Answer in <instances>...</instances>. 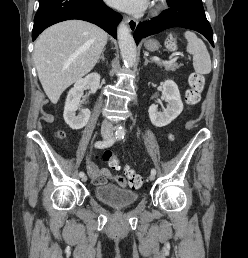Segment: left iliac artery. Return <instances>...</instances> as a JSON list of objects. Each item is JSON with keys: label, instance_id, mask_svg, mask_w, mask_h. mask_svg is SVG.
Wrapping results in <instances>:
<instances>
[{"label": "left iliac artery", "instance_id": "obj_1", "mask_svg": "<svg viewBox=\"0 0 248 258\" xmlns=\"http://www.w3.org/2000/svg\"><path fill=\"white\" fill-rule=\"evenodd\" d=\"M124 135H125V134L120 135L119 140L123 139V138H124ZM151 174H153V175L156 174V170H155L154 168L151 169Z\"/></svg>", "mask_w": 248, "mask_h": 258}]
</instances>
